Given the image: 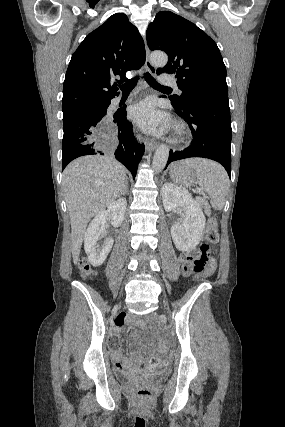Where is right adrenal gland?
<instances>
[{
    "label": "right adrenal gland",
    "mask_w": 285,
    "mask_h": 427,
    "mask_svg": "<svg viewBox=\"0 0 285 427\" xmlns=\"http://www.w3.org/2000/svg\"><path fill=\"white\" fill-rule=\"evenodd\" d=\"M120 194L121 195H125V194L128 195V184L127 183L125 184L124 188L120 191Z\"/></svg>",
    "instance_id": "1"
}]
</instances>
